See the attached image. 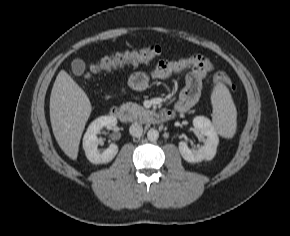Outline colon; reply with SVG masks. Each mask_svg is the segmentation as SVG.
<instances>
[{"label": "colon", "mask_w": 290, "mask_h": 236, "mask_svg": "<svg viewBox=\"0 0 290 236\" xmlns=\"http://www.w3.org/2000/svg\"><path fill=\"white\" fill-rule=\"evenodd\" d=\"M161 54V48L157 45H149L134 50L118 52L110 56L103 57L97 64L89 69L88 76L98 74L105 70L118 68L125 65L138 64L151 61ZM214 81L227 86L231 91L235 90L230 78L224 72H217Z\"/></svg>", "instance_id": "5ec220e1"}]
</instances>
